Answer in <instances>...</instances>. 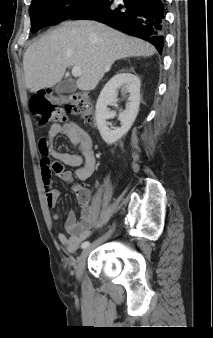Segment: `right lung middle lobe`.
<instances>
[{
  "label": "right lung middle lobe",
  "instance_id": "obj_1",
  "mask_svg": "<svg viewBox=\"0 0 213 338\" xmlns=\"http://www.w3.org/2000/svg\"><path fill=\"white\" fill-rule=\"evenodd\" d=\"M95 0H32L29 7L31 32L71 18Z\"/></svg>",
  "mask_w": 213,
  "mask_h": 338
}]
</instances>
